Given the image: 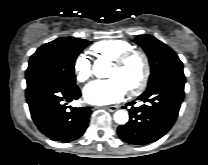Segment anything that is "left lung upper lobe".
<instances>
[{"label": "left lung upper lobe", "mask_w": 208, "mask_h": 165, "mask_svg": "<svg viewBox=\"0 0 208 165\" xmlns=\"http://www.w3.org/2000/svg\"><path fill=\"white\" fill-rule=\"evenodd\" d=\"M135 42L149 57L151 75L148 87L168 77L184 76L182 62L166 44L151 35H140L136 37Z\"/></svg>", "instance_id": "5c2ea615"}]
</instances>
